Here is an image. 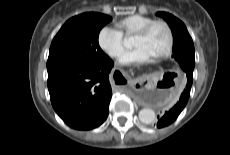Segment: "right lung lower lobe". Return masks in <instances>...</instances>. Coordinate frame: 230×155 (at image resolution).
Returning <instances> with one entry per match:
<instances>
[{"mask_svg":"<svg viewBox=\"0 0 230 155\" xmlns=\"http://www.w3.org/2000/svg\"><path fill=\"white\" fill-rule=\"evenodd\" d=\"M114 62L60 65L48 70V89L56 113L70 127L90 130L107 118L111 100L109 73Z\"/></svg>","mask_w":230,"mask_h":155,"instance_id":"right-lung-lower-lobe-1","label":"right lung lower lobe"}]
</instances>
